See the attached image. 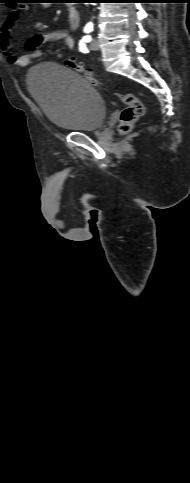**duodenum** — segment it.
Instances as JSON below:
<instances>
[{
    "mask_svg": "<svg viewBox=\"0 0 190 483\" xmlns=\"http://www.w3.org/2000/svg\"><path fill=\"white\" fill-rule=\"evenodd\" d=\"M80 15L75 7H71L68 10V22L71 28H76L79 24Z\"/></svg>",
    "mask_w": 190,
    "mask_h": 483,
    "instance_id": "duodenum-1",
    "label": "duodenum"
}]
</instances>
